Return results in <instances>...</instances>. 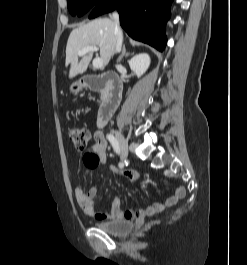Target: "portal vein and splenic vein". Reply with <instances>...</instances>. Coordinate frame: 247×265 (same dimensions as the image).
Instances as JSON below:
<instances>
[{
  "label": "portal vein and splenic vein",
  "mask_w": 247,
  "mask_h": 265,
  "mask_svg": "<svg viewBox=\"0 0 247 265\" xmlns=\"http://www.w3.org/2000/svg\"><path fill=\"white\" fill-rule=\"evenodd\" d=\"M94 51H98L97 46H87V47L83 48L82 50H80L78 52V55L83 56L88 52H94ZM92 64H93L94 68H102L103 67V60L101 58H95L93 60Z\"/></svg>",
  "instance_id": "18ae733b"
}]
</instances>
